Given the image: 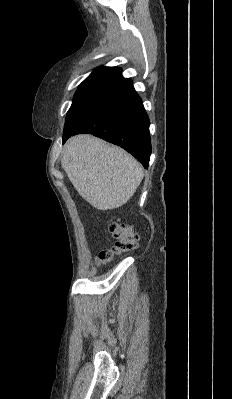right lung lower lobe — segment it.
Instances as JSON below:
<instances>
[{
	"mask_svg": "<svg viewBox=\"0 0 232 399\" xmlns=\"http://www.w3.org/2000/svg\"><path fill=\"white\" fill-rule=\"evenodd\" d=\"M149 125L132 80L119 74L74 98L66 115L63 144L73 135L93 134L119 145L147 168L151 154Z\"/></svg>",
	"mask_w": 232,
	"mask_h": 399,
	"instance_id": "right-lung-lower-lobe-1",
	"label": "right lung lower lobe"
}]
</instances>
